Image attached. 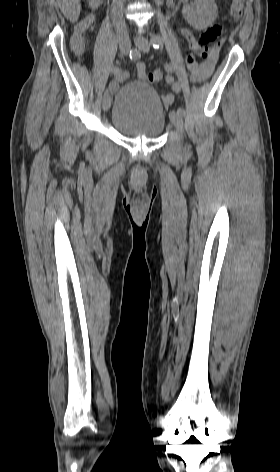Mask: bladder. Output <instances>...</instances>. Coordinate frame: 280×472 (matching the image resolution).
Returning <instances> with one entry per match:
<instances>
[{"instance_id":"31cf9c89","label":"bladder","mask_w":280,"mask_h":472,"mask_svg":"<svg viewBox=\"0 0 280 472\" xmlns=\"http://www.w3.org/2000/svg\"><path fill=\"white\" fill-rule=\"evenodd\" d=\"M110 122L125 136L156 138L164 131L166 112L153 86L130 81L115 95Z\"/></svg>"}]
</instances>
